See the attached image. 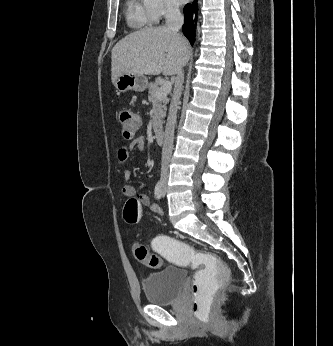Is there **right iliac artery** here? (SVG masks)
I'll use <instances>...</instances> for the list:
<instances>
[{"label":"right iliac artery","instance_id":"right-iliac-artery-1","mask_svg":"<svg viewBox=\"0 0 333 346\" xmlns=\"http://www.w3.org/2000/svg\"><path fill=\"white\" fill-rule=\"evenodd\" d=\"M154 194H155L156 199H160L162 197V195H163V183L161 180L157 182L155 189H154Z\"/></svg>","mask_w":333,"mask_h":346}]
</instances>
